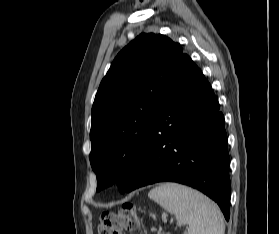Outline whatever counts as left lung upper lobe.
I'll return each instance as SVG.
<instances>
[{
  "mask_svg": "<svg viewBox=\"0 0 279 234\" xmlns=\"http://www.w3.org/2000/svg\"><path fill=\"white\" fill-rule=\"evenodd\" d=\"M183 49L142 33L116 56L92 106L90 163L97 190L118 182L122 193L141 160L152 119Z\"/></svg>",
  "mask_w": 279,
  "mask_h": 234,
  "instance_id": "obj_1",
  "label": "left lung upper lobe"
}]
</instances>
